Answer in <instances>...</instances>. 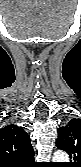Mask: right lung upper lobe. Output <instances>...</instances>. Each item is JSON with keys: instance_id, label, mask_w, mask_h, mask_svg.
Masks as SVG:
<instances>
[{"instance_id": "obj_1", "label": "right lung upper lobe", "mask_w": 81, "mask_h": 167, "mask_svg": "<svg viewBox=\"0 0 81 167\" xmlns=\"http://www.w3.org/2000/svg\"><path fill=\"white\" fill-rule=\"evenodd\" d=\"M29 135L16 125L0 129V167H34Z\"/></svg>"}]
</instances>
